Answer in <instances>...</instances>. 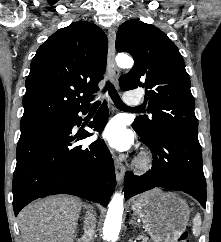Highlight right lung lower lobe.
Instances as JSON below:
<instances>
[{
	"label": "right lung lower lobe",
	"instance_id": "1",
	"mask_svg": "<svg viewBox=\"0 0 221 242\" xmlns=\"http://www.w3.org/2000/svg\"><path fill=\"white\" fill-rule=\"evenodd\" d=\"M88 106L21 125L17 164L13 176V209L54 194H71L106 206L114 191V163L103 140L88 146L74 143L92 134L72 135L82 121L78 113ZM108 118L104 101L89 127L100 131Z\"/></svg>",
	"mask_w": 221,
	"mask_h": 242
}]
</instances>
